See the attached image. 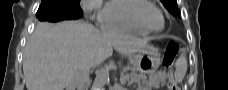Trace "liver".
I'll list each match as a JSON object with an SVG mask.
<instances>
[{"instance_id": "1", "label": "liver", "mask_w": 228, "mask_h": 90, "mask_svg": "<svg viewBox=\"0 0 228 90\" xmlns=\"http://www.w3.org/2000/svg\"><path fill=\"white\" fill-rule=\"evenodd\" d=\"M150 38L108 33L84 21L38 23L23 56L27 90H64L81 66L95 67L112 55L143 49Z\"/></svg>"}]
</instances>
